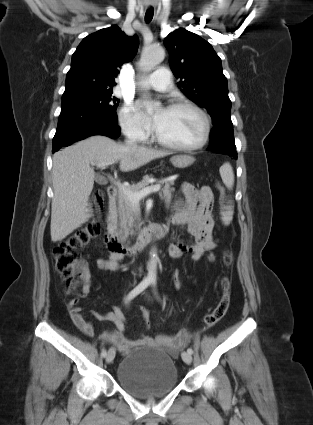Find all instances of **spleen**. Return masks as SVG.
I'll use <instances>...</instances> for the list:
<instances>
[{
    "instance_id": "obj_1",
    "label": "spleen",
    "mask_w": 313,
    "mask_h": 425,
    "mask_svg": "<svg viewBox=\"0 0 313 425\" xmlns=\"http://www.w3.org/2000/svg\"><path fill=\"white\" fill-rule=\"evenodd\" d=\"M219 172H220V176L222 178L224 185L228 189H232L233 185H234V173H233V168L230 165V163L229 162L224 163L220 167ZM232 216H233L232 208H230L226 212H224L222 214V220H223L224 224L228 225L230 223V221L232 220Z\"/></svg>"
}]
</instances>
